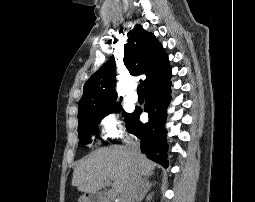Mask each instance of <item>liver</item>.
Returning <instances> with one entry per match:
<instances>
[{
	"instance_id": "obj_1",
	"label": "liver",
	"mask_w": 255,
	"mask_h": 202,
	"mask_svg": "<svg viewBox=\"0 0 255 202\" xmlns=\"http://www.w3.org/2000/svg\"><path fill=\"white\" fill-rule=\"evenodd\" d=\"M155 164L145 155L133 157L128 148L114 145L101 148L75 167L72 186L81 192L96 193L111 179L116 194H121L134 171L141 176H150Z\"/></svg>"
}]
</instances>
